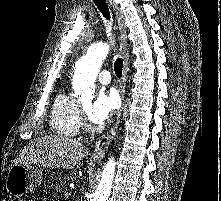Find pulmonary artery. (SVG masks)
Returning <instances> with one entry per match:
<instances>
[{
  "label": "pulmonary artery",
  "mask_w": 221,
  "mask_h": 201,
  "mask_svg": "<svg viewBox=\"0 0 221 201\" xmlns=\"http://www.w3.org/2000/svg\"><path fill=\"white\" fill-rule=\"evenodd\" d=\"M98 81L101 83V84H109L110 81H111V75H110V72L107 71V70H103L99 73L98 75Z\"/></svg>",
  "instance_id": "1"
}]
</instances>
